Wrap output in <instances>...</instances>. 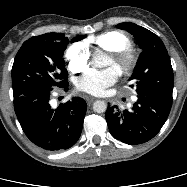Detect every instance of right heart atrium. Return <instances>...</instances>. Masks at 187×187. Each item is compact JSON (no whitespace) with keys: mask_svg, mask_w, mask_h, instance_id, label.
I'll return each mask as SVG.
<instances>
[{"mask_svg":"<svg viewBox=\"0 0 187 187\" xmlns=\"http://www.w3.org/2000/svg\"><path fill=\"white\" fill-rule=\"evenodd\" d=\"M68 68L73 73L83 72L89 65L90 50L86 42L72 44L65 54Z\"/></svg>","mask_w":187,"mask_h":187,"instance_id":"d8ad5b80","label":"right heart atrium"}]
</instances>
